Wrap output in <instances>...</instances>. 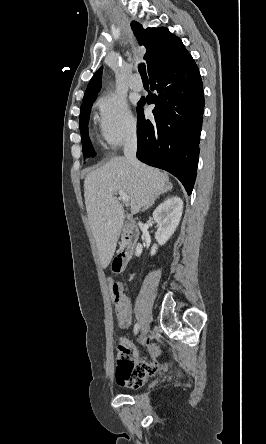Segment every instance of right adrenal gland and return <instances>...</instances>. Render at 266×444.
<instances>
[{
    "label": "right adrenal gland",
    "instance_id": "2a0ac1e0",
    "mask_svg": "<svg viewBox=\"0 0 266 444\" xmlns=\"http://www.w3.org/2000/svg\"><path fill=\"white\" fill-rule=\"evenodd\" d=\"M154 203H155V200H151V201L149 202V204L143 209V211L149 209Z\"/></svg>",
    "mask_w": 266,
    "mask_h": 444
}]
</instances>
